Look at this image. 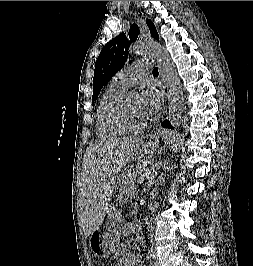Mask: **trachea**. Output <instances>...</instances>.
Wrapping results in <instances>:
<instances>
[{"mask_svg":"<svg viewBox=\"0 0 253 266\" xmlns=\"http://www.w3.org/2000/svg\"><path fill=\"white\" fill-rule=\"evenodd\" d=\"M153 74H158V68H154L152 71Z\"/></svg>","mask_w":253,"mask_h":266,"instance_id":"trachea-1","label":"trachea"}]
</instances>
